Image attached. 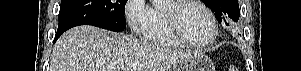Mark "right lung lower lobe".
Listing matches in <instances>:
<instances>
[{"label": "right lung lower lobe", "instance_id": "98d812e1", "mask_svg": "<svg viewBox=\"0 0 301 71\" xmlns=\"http://www.w3.org/2000/svg\"><path fill=\"white\" fill-rule=\"evenodd\" d=\"M62 33H63L62 31H58V30H57V33H56V35H55V39H54L53 42H55V41L59 38V36H60Z\"/></svg>", "mask_w": 301, "mask_h": 71}]
</instances>
